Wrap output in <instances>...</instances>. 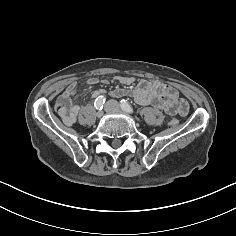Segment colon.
<instances>
[{
    "label": "colon",
    "mask_w": 236,
    "mask_h": 236,
    "mask_svg": "<svg viewBox=\"0 0 236 236\" xmlns=\"http://www.w3.org/2000/svg\"><path fill=\"white\" fill-rule=\"evenodd\" d=\"M176 124H177V120L174 119L171 121V125H176Z\"/></svg>",
    "instance_id": "1"
}]
</instances>
